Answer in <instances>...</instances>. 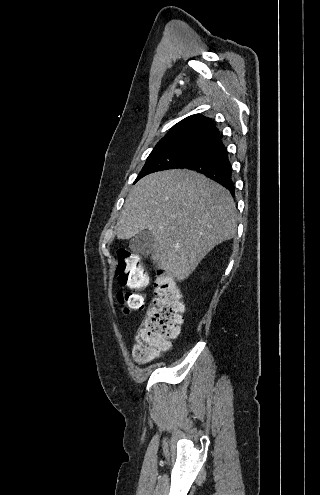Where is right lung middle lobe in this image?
I'll return each instance as SVG.
<instances>
[{"instance_id": "1", "label": "right lung middle lobe", "mask_w": 320, "mask_h": 495, "mask_svg": "<svg viewBox=\"0 0 320 495\" xmlns=\"http://www.w3.org/2000/svg\"><path fill=\"white\" fill-rule=\"evenodd\" d=\"M205 143L203 140L186 139L157 144L135 182L152 172L178 168Z\"/></svg>"}]
</instances>
